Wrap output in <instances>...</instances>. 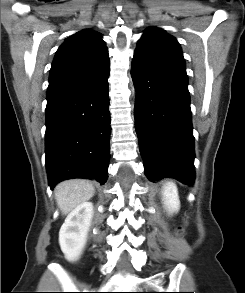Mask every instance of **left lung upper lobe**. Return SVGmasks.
Instances as JSON below:
<instances>
[{
  "mask_svg": "<svg viewBox=\"0 0 245 293\" xmlns=\"http://www.w3.org/2000/svg\"><path fill=\"white\" fill-rule=\"evenodd\" d=\"M135 52L186 72L185 61L177 40L160 28H147Z\"/></svg>",
  "mask_w": 245,
  "mask_h": 293,
  "instance_id": "obj_1",
  "label": "left lung upper lobe"
}]
</instances>
